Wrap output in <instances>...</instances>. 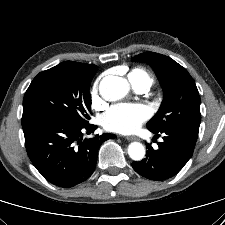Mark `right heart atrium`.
Here are the masks:
<instances>
[{
  "label": "right heart atrium",
  "mask_w": 225,
  "mask_h": 225,
  "mask_svg": "<svg viewBox=\"0 0 225 225\" xmlns=\"http://www.w3.org/2000/svg\"><path fill=\"white\" fill-rule=\"evenodd\" d=\"M97 87H98V83L96 82L94 84L93 91H92V103L95 107H99L102 105V100L98 94Z\"/></svg>",
  "instance_id": "d8ad5b80"
}]
</instances>
